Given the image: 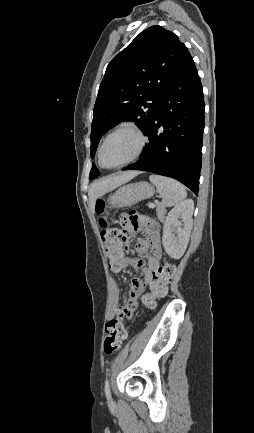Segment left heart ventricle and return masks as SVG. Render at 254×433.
<instances>
[{
  "label": "left heart ventricle",
  "mask_w": 254,
  "mask_h": 433,
  "mask_svg": "<svg viewBox=\"0 0 254 433\" xmlns=\"http://www.w3.org/2000/svg\"><path fill=\"white\" fill-rule=\"evenodd\" d=\"M139 146V138L131 131L123 130L112 135L102 150V162L106 166L118 165L129 159Z\"/></svg>",
  "instance_id": "left-heart-ventricle-1"
}]
</instances>
